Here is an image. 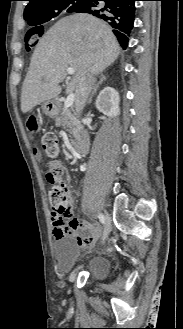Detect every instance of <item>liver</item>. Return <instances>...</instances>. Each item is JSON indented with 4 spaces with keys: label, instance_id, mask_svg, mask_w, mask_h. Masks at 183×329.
<instances>
[{
    "label": "liver",
    "instance_id": "1",
    "mask_svg": "<svg viewBox=\"0 0 183 329\" xmlns=\"http://www.w3.org/2000/svg\"><path fill=\"white\" fill-rule=\"evenodd\" d=\"M119 52L120 46L104 21L85 13L60 19L43 35L33 52L21 91L22 112L56 98L61 93L59 84L67 78L68 67L76 73L67 92L77 94L86 73L92 76L101 73L117 59Z\"/></svg>",
    "mask_w": 183,
    "mask_h": 329
}]
</instances>
